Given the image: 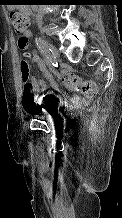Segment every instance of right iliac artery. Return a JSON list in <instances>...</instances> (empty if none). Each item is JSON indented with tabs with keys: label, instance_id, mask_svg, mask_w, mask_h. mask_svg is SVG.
<instances>
[{
	"label": "right iliac artery",
	"instance_id": "82829eb1",
	"mask_svg": "<svg viewBox=\"0 0 122 218\" xmlns=\"http://www.w3.org/2000/svg\"><path fill=\"white\" fill-rule=\"evenodd\" d=\"M35 41L42 55L46 58L48 62H51L52 53L51 50L46 45V43L44 42V40H42L41 38H36Z\"/></svg>",
	"mask_w": 122,
	"mask_h": 218
}]
</instances>
